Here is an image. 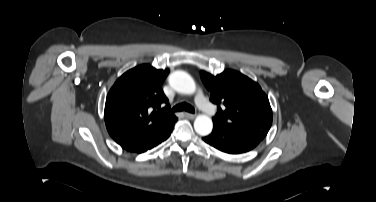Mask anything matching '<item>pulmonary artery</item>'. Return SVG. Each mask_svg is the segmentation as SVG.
<instances>
[{
	"mask_svg": "<svg viewBox=\"0 0 376 202\" xmlns=\"http://www.w3.org/2000/svg\"><path fill=\"white\" fill-rule=\"evenodd\" d=\"M196 103H197L198 107L202 111H204L207 115H212L214 113V110H213L211 104L209 103V101L207 100V98L203 94L202 90H200V89L197 91V94H196Z\"/></svg>",
	"mask_w": 376,
	"mask_h": 202,
	"instance_id": "pulmonary-artery-1",
	"label": "pulmonary artery"
}]
</instances>
